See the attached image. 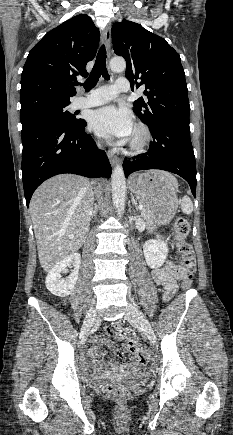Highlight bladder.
<instances>
[{
  "label": "bladder",
  "mask_w": 233,
  "mask_h": 435,
  "mask_svg": "<svg viewBox=\"0 0 233 435\" xmlns=\"http://www.w3.org/2000/svg\"><path fill=\"white\" fill-rule=\"evenodd\" d=\"M88 381V383H95L96 381L95 380H87Z\"/></svg>",
  "instance_id": "31cf9c89"
}]
</instances>
